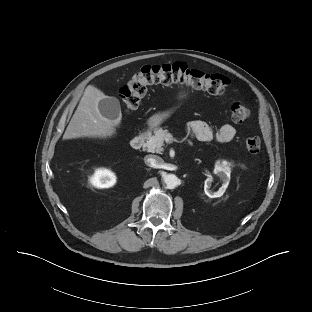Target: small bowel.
<instances>
[{
  "instance_id": "obj_1",
  "label": "small bowel",
  "mask_w": 312,
  "mask_h": 312,
  "mask_svg": "<svg viewBox=\"0 0 312 312\" xmlns=\"http://www.w3.org/2000/svg\"><path fill=\"white\" fill-rule=\"evenodd\" d=\"M188 132L204 142L215 140L220 143H226L233 140L236 136V129L231 124H224L217 132H213L211 127L203 121L190 122L188 124Z\"/></svg>"
}]
</instances>
